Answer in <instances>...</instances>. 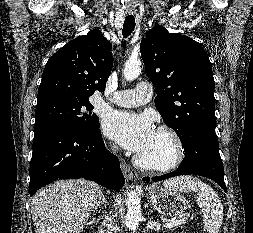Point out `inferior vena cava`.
<instances>
[{"label":"inferior vena cava","mask_w":253,"mask_h":233,"mask_svg":"<svg viewBox=\"0 0 253 233\" xmlns=\"http://www.w3.org/2000/svg\"><path fill=\"white\" fill-rule=\"evenodd\" d=\"M112 151H117V146L112 145ZM108 221L109 233H116V226L114 225V217L111 214L106 218Z\"/></svg>","instance_id":"obj_1"}]
</instances>
